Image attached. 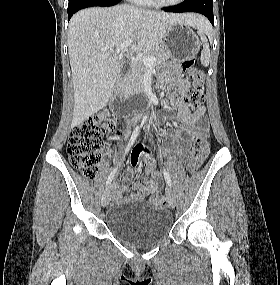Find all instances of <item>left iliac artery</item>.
Masks as SVG:
<instances>
[{
    "mask_svg": "<svg viewBox=\"0 0 280 285\" xmlns=\"http://www.w3.org/2000/svg\"><path fill=\"white\" fill-rule=\"evenodd\" d=\"M163 173H164V177H165V180H166L168 186L171 187V185H172L171 178H170V175L165 168H163Z\"/></svg>",
    "mask_w": 280,
    "mask_h": 285,
    "instance_id": "left-iliac-artery-1",
    "label": "left iliac artery"
}]
</instances>
